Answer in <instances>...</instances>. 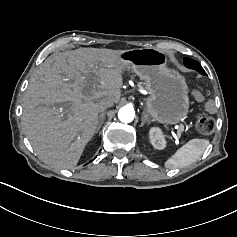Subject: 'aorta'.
Here are the masks:
<instances>
[{
	"label": "aorta",
	"instance_id": "obj_1",
	"mask_svg": "<svg viewBox=\"0 0 237 237\" xmlns=\"http://www.w3.org/2000/svg\"><path fill=\"white\" fill-rule=\"evenodd\" d=\"M135 116V112L132 108L128 106H123L118 111V118L123 123H130L133 121Z\"/></svg>",
	"mask_w": 237,
	"mask_h": 237
}]
</instances>
